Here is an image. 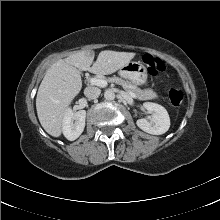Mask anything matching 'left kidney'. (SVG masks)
Wrapping results in <instances>:
<instances>
[{"instance_id":"left-kidney-1","label":"left kidney","mask_w":220,"mask_h":220,"mask_svg":"<svg viewBox=\"0 0 220 220\" xmlns=\"http://www.w3.org/2000/svg\"><path fill=\"white\" fill-rule=\"evenodd\" d=\"M143 107L149 112L152 113L150 121L147 119H138L136 124L137 126L153 135H161L168 131L170 127V118L167 110L156 103L145 102Z\"/></svg>"}]
</instances>
